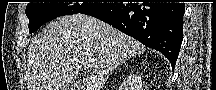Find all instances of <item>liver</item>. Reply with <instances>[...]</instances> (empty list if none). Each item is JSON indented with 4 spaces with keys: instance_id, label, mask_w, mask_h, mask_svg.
Masks as SVG:
<instances>
[{
    "instance_id": "1",
    "label": "liver",
    "mask_w": 216,
    "mask_h": 90,
    "mask_svg": "<svg viewBox=\"0 0 216 90\" xmlns=\"http://www.w3.org/2000/svg\"><path fill=\"white\" fill-rule=\"evenodd\" d=\"M145 50L143 44L97 18L62 16L33 38L28 48L27 90H103L115 68ZM78 76H83L82 84L74 86Z\"/></svg>"
}]
</instances>
